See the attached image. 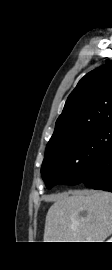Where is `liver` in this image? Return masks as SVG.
Wrapping results in <instances>:
<instances>
[{"mask_svg":"<svg viewBox=\"0 0 112 270\" xmlns=\"http://www.w3.org/2000/svg\"><path fill=\"white\" fill-rule=\"evenodd\" d=\"M53 199L44 242H104L112 234V193L77 190Z\"/></svg>","mask_w":112,"mask_h":270,"instance_id":"liver-1","label":"liver"}]
</instances>
